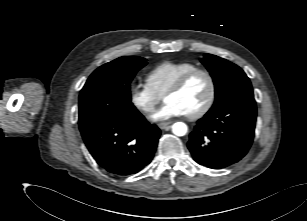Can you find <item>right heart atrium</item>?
<instances>
[{
	"label": "right heart atrium",
	"mask_w": 307,
	"mask_h": 221,
	"mask_svg": "<svg viewBox=\"0 0 307 221\" xmlns=\"http://www.w3.org/2000/svg\"><path fill=\"white\" fill-rule=\"evenodd\" d=\"M129 97L132 105L144 114H151L162 100V97L153 91L147 83L131 85Z\"/></svg>",
	"instance_id": "right-heart-atrium-1"
}]
</instances>
